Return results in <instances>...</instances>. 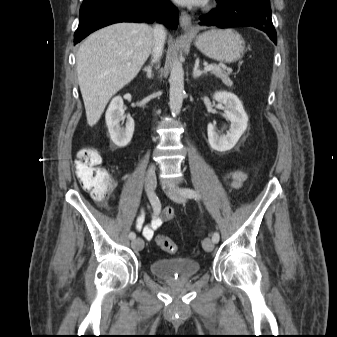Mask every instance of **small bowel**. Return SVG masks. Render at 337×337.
Segmentation results:
<instances>
[{
  "instance_id": "obj_1",
  "label": "small bowel",
  "mask_w": 337,
  "mask_h": 337,
  "mask_svg": "<svg viewBox=\"0 0 337 337\" xmlns=\"http://www.w3.org/2000/svg\"><path fill=\"white\" fill-rule=\"evenodd\" d=\"M247 174L244 171L232 169L225 173V180L233 187H238L246 179ZM115 187V183L113 185ZM113 196V195H112ZM174 218V211L166 208L163 211L155 212L153 218L148 225H144V213L141 211L136 218V230L141 232L146 240H152L156 230L165 222Z\"/></svg>"
}]
</instances>
